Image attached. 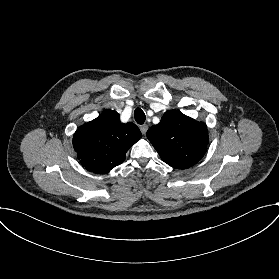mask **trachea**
<instances>
[{
    "label": "trachea",
    "instance_id": "trachea-1",
    "mask_svg": "<svg viewBox=\"0 0 279 279\" xmlns=\"http://www.w3.org/2000/svg\"><path fill=\"white\" fill-rule=\"evenodd\" d=\"M134 117L138 124H143L145 122L146 116L142 109L137 108L134 111Z\"/></svg>",
    "mask_w": 279,
    "mask_h": 279
}]
</instances>
